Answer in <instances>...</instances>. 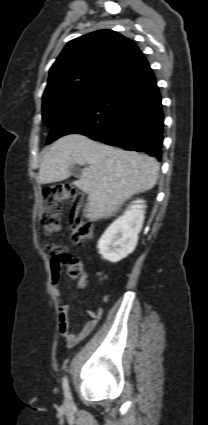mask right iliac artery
I'll return each mask as SVG.
<instances>
[{
  "instance_id": "obj_1",
  "label": "right iliac artery",
  "mask_w": 208,
  "mask_h": 425,
  "mask_svg": "<svg viewBox=\"0 0 208 425\" xmlns=\"http://www.w3.org/2000/svg\"><path fill=\"white\" fill-rule=\"evenodd\" d=\"M62 384H63V390H64L65 397L67 399H69L70 398V391H69V384H68L67 377H64L63 378V383Z\"/></svg>"
}]
</instances>
